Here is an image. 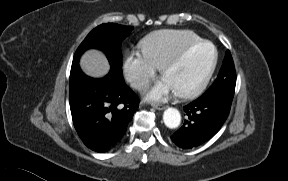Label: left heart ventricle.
<instances>
[{"instance_id":"left-heart-ventricle-1","label":"left heart ventricle","mask_w":288,"mask_h":181,"mask_svg":"<svg viewBox=\"0 0 288 181\" xmlns=\"http://www.w3.org/2000/svg\"><path fill=\"white\" fill-rule=\"evenodd\" d=\"M214 49L205 44L193 50L184 61L165 74V81L174 91L191 88L208 73L213 60Z\"/></svg>"}]
</instances>
